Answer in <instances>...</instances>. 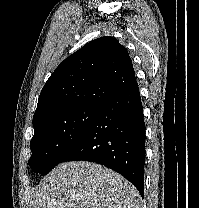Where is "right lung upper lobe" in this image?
Masks as SVG:
<instances>
[{
    "label": "right lung upper lobe",
    "mask_w": 199,
    "mask_h": 208,
    "mask_svg": "<svg viewBox=\"0 0 199 208\" xmlns=\"http://www.w3.org/2000/svg\"><path fill=\"white\" fill-rule=\"evenodd\" d=\"M136 82L127 49L113 37L95 39L65 59L44 85L33 126L67 110L99 106Z\"/></svg>",
    "instance_id": "obj_1"
}]
</instances>
